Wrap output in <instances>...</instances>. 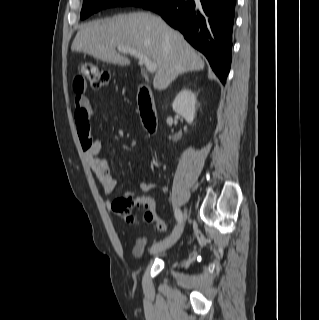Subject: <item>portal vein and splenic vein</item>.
I'll use <instances>...</instances> for the list:
<instances>
[{
  "mask_svg": "<svg viewBox=\"0 0 319 320\" xmlns=\"http://www.w3.org/2000/svg\"><path fill=\"white\" fill-rule=\"evenodd\" d=\"M117 48L121 53L130 54V55H133L136 58H138L140 63H142L146 66V69L148 72L154 73L157 70V64L155 62L151 61V59H149L144 54L138 52L136 49H133V48L127 47V46H118Z\"/></svg>",
  "mask_w": 319,
  "mask_h": 320,
  "instance_id": "18ae733b",
  "label": "portal vein and splenic vein"
}]
</instances>
